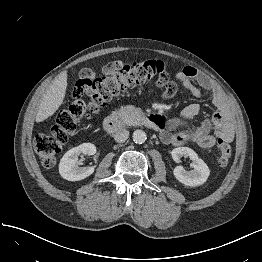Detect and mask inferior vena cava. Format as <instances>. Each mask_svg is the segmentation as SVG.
Instances as JSON below:
<instances>
[{"label":"inferior vena cava","mask_w":262,"mask_h":262,"mask_svg":"<svg viewBox=\"0 0 262 262\" xmlns=\"http://www.w3.org/2000/svg\"><path fill=\"white\" fill-rule=\"evenodd\" d=\"M128 137L129 131H127L126 129H122L115 134L114 139L116 142H124L128 139Z\"/></svg>","instance_id":"1"}]
</instances>
